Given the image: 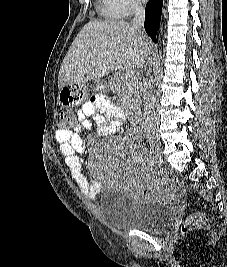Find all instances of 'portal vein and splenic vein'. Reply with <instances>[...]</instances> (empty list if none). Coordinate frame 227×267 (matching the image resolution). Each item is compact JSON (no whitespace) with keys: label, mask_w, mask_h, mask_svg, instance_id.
<instances>
[{"label":"portal vein and splenic vein","mask_w":227,"mask_h":267,"mask_svg":"<svg viewBox=\"0 0 227 267\" xmlns=\"http://www.w3.org/2000/svg\"><path fill=\"white\" fill-rule=\"evenodd\" d=\"M128 81H129V85L134 84L137 81V77L135 75H130L128 78Z\"/></svg>","instance_id":"obj_1"}]
</instances>
